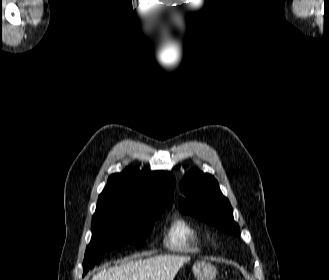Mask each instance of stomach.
I'll list each match as a JSON object with an SVG mask.
<instances>
[{
	"label": "stomach",
	"mask_w": 329,
	"mask_h": 280,
	"mask_svg": "<svg viewBox=\"0 0 329 280\" xmlns=\"http://www.w3.org/2000/svg\"><path fill=\"white\" fill-rule=\"evenodd\" d=\"M193 274L197 280H214L216 277V267L210 262L198 261L193 267Z\"/></svg>",
	"instance_id": "0dacf381"
}]
</instances>
